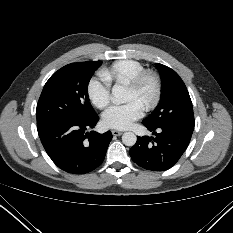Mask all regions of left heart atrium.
Returning <instances> with one entry per match:
<instances>
[{
  "label": "left heart atrium",
  "instance_id": "obj_1",
  "mask_svg": "<svg viewBox=\"0 0 233 233\" xmlns=\"http://www.w3.org/2000/svg\"><path fill=\"white\" fill-rule=\"evenodd\" d=\"M144 107L138 101H129L122 105H115L103 115V123L113 129L125 130L138 120Z\"/></svg>",
  "mask_w": 233,
  "mask_h": 233
}]
</instances>
